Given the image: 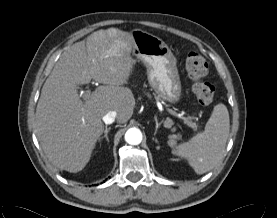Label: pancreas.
<instances>
[{"mask_svg": "<svg viewBox=\"0 0 277 218\" xmlns=\"http://www.w3.org/2000/svg\"><path fill=\"white\" fill-rule=\"evenodd\" d=\"M185 122H186L187 125L191 126L192 128H194V129L197 128L196 123L191 122V117H188V118L185 120Z\"/></svg>", "mask_w": 277, "mask_h": 218, "instance_id": "pancreas-1", "label": "pancreas"}]
</instances>
